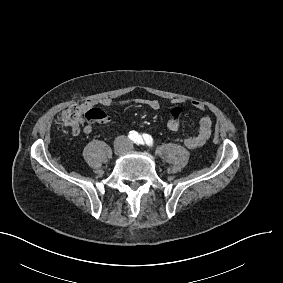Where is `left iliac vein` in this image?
I'll return each mask as SVG.
<instances>
[{
  "label": "left iliac vein",
  "instance_id": "4c4485c4",
  "mask_svg": "<svg viewBox=\"0 0 283 283\" xmlns=\"http://www.w3.org/2000/svg\"><path fill=\"white\" fill-rule=\"evenodd\" d=\"M133 149L132 145L127 146V151H131Z\"/></svg>",
  "mask_w": 283,
  "mask_h": 283
}]
</instances>
